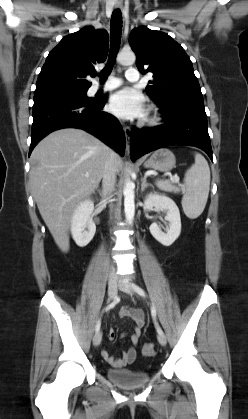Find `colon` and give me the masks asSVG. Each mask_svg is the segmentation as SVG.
Returning <instances> with one entry per match:
<instances>
[{
  "label": "colon",
  "instance_id": "colon-1",
  "mask_svg": "<svg viewBox=\"0 0 248 419\" xmlns=\"http://www.w3.org/2000/svg\"><path fill=\"white\" fill-rule=\"evenodd\" d=\"M154 351L155 350H154V344L153 343L147 342L143 345V353L145 355H148V356L153 355Z\"/></svg>",
  "mask_w": 248,
  "mask_h": 419
}]
</instances>
